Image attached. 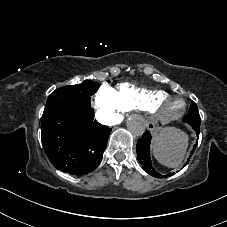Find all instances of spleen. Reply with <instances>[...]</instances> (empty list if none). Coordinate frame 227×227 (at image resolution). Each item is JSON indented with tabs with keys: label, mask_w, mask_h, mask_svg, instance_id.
<instances>
[{
	"label": "spleen",
	"mask_w": 227,
	"mask_h": 227,
	"mask_svg": "<svg viewBox=\"0 0 227 227\" xmlns=\"http://www.w3.org/2000/svg\"><path fill=\"white\" fill-rule=\"evenodd\" d=\"M188 147V135L175 127H165L153 137V155L167 167H178Z\"/></svg>",
	"instance_id": "3e777b00"
}]
</instances>
